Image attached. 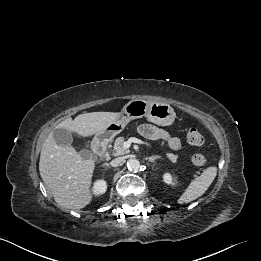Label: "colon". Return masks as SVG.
Returning <instances> with one entry per match:
<instances>
[{"label":"colon","instance_id":"colon-1","mask_svg":"<svg viewBox=\"0 0 261 261\" xmlns=\"http://www.w3.org/2000/svg\"><path fill=\"white\" fill-rule=\"evenodd\" d=\"M186 141L192 146H200L203 143V135L196 126H191L186 133ZM208 160L207 155L198 152L192 156V162L196 166L204 165Z\"/></svg>","mask_w":261,"mask_h":261}]
</instances>
